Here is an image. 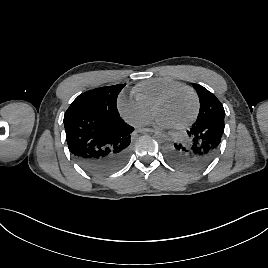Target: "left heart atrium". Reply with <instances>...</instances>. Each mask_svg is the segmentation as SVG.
Segmentation results:
<instances>
[{
  "label": "left heart atrium",
  "mask_w": 268,
  "mask_h": 268,
  "mask_svg": "<svg viewBox=\"0 0 268 268\" xmlns=\"http://www.w3.org/2000/svg\"><path fill=\"white\" fill-rule=\"evenodd\" d=\"M155 123L158 127H161V128H168V127H171V125L166 122L165 120H163L162 118L160 117H156L155 119Z\"/></svg>",
  "instance_id": "1"
}]
</instances>
